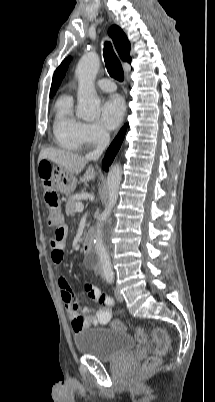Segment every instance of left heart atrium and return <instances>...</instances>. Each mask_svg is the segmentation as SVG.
Listing matches in <instances>:
<instances>
[{
	"label": "left heart atrium",
	"instance_id": "left-heart-atrium-1",
	"mask_svg": "<svg viewBox=\"0 0 215 402\" xmlns=\"http://www.w3.org/2000/svg\"><path fill=\"white\" fill-rule=\"evenodd\" d=\"M125 104L118 95L109 96L101 106V123L107 129L117 128L123 120Z\"/></svg>",
	"mask_w": 215,
	"mask_h": 402
}]
</instances>
